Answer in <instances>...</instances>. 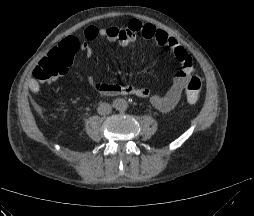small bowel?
Segmentation results:
<instances>
[{"mask_svg": "<svg viewBox=\"0 0 254 216\" xmlns=\"http://www.w3.org/2000/svg\"><path fill=\"white\" fill-rule=\"evenodd\" d=\"M138 36L148 40H154L159 45L169 48L181 64V69L175 74L172 84L167 91L163 94H154L148 88L138 87L131 84L111 83H97L95 88L97 91L107 96L135 95L144 99H149L157 110L161 112H169L178 104L192 72V60L189 53L174 37L151 24H143L138 20L130 21L127 26L96 27L90 25L84 30V37L88 41L104 38L110 42H117L122 47H128L133 44ZM54 49L66 50L71 55L78 50L83 51L87 55L91 52L87 43H80L77 38L72 36L60 41ZM40 86L41 83L36 80L34 75L29 81L30 90L32 92H37L40 89Z\"/></svg>", "mask_w": 254, "mask_h": 216, "instance_id": "small-bowel-1", "label": "small bowel"}]
</instances>
